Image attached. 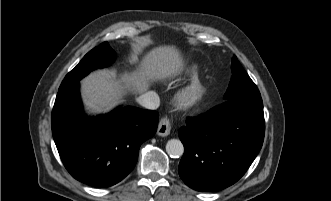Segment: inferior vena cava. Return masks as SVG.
<instances>
[{
	"mask_svg": "<svg viewBox=\"0 0 331 201\" xmlns=\"http://www.w3.org/2000/svg\"><path fill=\"white\" fill-rule=\"evenodd\" d=\"M138 102L143 107L154 110L159 107L160 98L156 92L148 91L138 98Z\"/></svg>",
	"mask_w": 331,
	"mask_h": 201,
	"instance_id": "obj_1",
	"label": "inferior vena cava"
}]
</instances>
